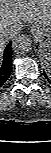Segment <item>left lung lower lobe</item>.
<instances>
[{
  "label": "left lung lower lobe",
  "mask_w": 51,
  "mask_h": 153,
  "mask_svg": "<svg viewBox=\"0 0 51 153\" xmlns=\"http://www.w3.org/2000/svg\"><path fill=\"white\" fill-rule=\"evenodd\" d=\"M44 76L46 77V79L51 83V81L48 79L47 75L45 74V72H43Z\"/></svg>",
  "instance_id": "1"
}]
</instances>
